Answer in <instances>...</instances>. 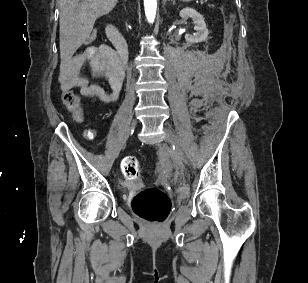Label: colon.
<instances>
[{"label":"colon","mask_w":308,"mask_h":283,"mask_svg":"<svg viewBox=\"0 0 308 283\" xmlns=\"http://www.w3.org/2000/svg\"><path fill=\"white\" fill-rule=\"evenodd\" d=\"M96 36V31H93L88 41H94ZM62 101L79 119L81 116V101L79 95L73 90H65L62 93ZM121 172L128 180L138 178L142 173L139 160L133 156L125 157L121 162ZM132 208L138 216L147 221L163 222L170 213L171 201L162 190L157 188H145L134 196Z\"/></svg>","instance_id":"5ec220e1"}]
</instances>
